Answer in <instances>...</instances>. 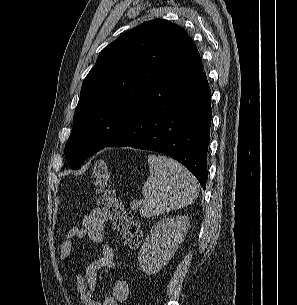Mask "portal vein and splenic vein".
Returning <instances> with one entry per match:
<instances>
[{
  "mask_svg": "<svg viewBox=\"0 0 297 305\" xmlns=\"http://www.w3.org/2000/svg\"><path fill=\"white\" fill-rule=\"evenodd\" d=\"M136 206H138V203H137V204H132V208H134V207H136Z\"/></svg>",
  "mask_w": 297,
  "mask_h": 305,
  "instance_id": "18ae733b",
  "label": "portal vein and splenic vein"
}]
</instances>
